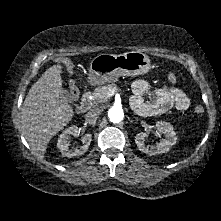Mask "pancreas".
<instances>
[{
    "instance_id": "obj_1",
    "label": "pancreas",
    "mask_w": 221,
    "mask_h": 221,
    "mask_svg": "<svg viewBox=\"0 0 221 221\" xmlns=\"http://www.w3.org/2000/svg\"><path fill=\"white\" fill-rule=\"evenodd\" d=\"M114 90L119 91V88L115 84H108L106 86H98L92 93V103L97 105L99 103L105 102L110 98L109 91Z\"/></svg>"
}]
</instances>
